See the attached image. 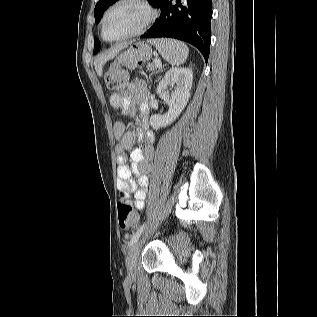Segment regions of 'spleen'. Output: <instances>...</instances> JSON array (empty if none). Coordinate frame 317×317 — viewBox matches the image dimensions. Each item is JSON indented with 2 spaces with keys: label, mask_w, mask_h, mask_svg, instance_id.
I'll return each instance as SVG.
<instances>
[{
  "label": "spleen",
  "mask_w": 317,
  "mask_h": 317,
  "mask_svg": "<svg viewBox=\"0 0 317 317\" xmlns=\"http://www.w3.org/2000/svg\"><path fill=\"white\" fill-rule=\"evenodd\" d=\"M148 42L154 45L161 56L173 66L183 64L188 57L189 49L181 41L174 39H152Z\"/></svg>",
  "instance_id": "spleen-1"
}]
</instances>
